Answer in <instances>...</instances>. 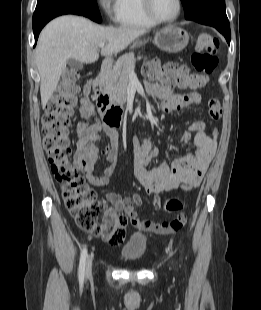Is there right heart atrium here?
I'll list each match as a JSON object with an SVG mask.
<instances>
[{"label": "right heart atrium", "mask_w": 261, "mask_h": 310, "mask_svg": "<svg viewBox=\"0 0 261 310\" xmlns=\"http://www.w3.org/2000/svg\"><path fill=\"white\" fill-rule=\"evenodd\" d=\"M97 2L107 17L114 18L115 0H97Z\"/></svg>", "instance_id": "obj_1"}]
</instances>
